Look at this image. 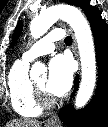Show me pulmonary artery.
I'll return each mask as SVG.
<instances>
[{
    "label": "pulmonary artery",
    "mask_w": 108,
    "mask_h": 127,
    "mask_svg": "<svg viewBox=\"0 0 108 127\" xmlns=\"http://www.w3.org/2000/svg\"><path fill=\"white\" fill-rule=\"evenodd\" d=\"M64 33L61 29H54L49 32L46 36L32 45L24 54L23 59L31 62L35 58L49 54L55 49V41L62 39Z\"/></svg>",
    "instance_id": "pulmonary-artery-1"
}]
</instances>
